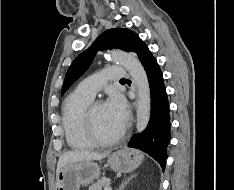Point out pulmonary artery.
Instances as JSON below:
<instances>
[{"label":"pulmonary artery","mask_w":234,"mask_h":190,"mask_svg":"<svg viewBox=\"0 0 234 190\" xmlns=\"http://www.w3.org/2000/svg\"><path fill=\"white\" fill-rule=\"evenodd\" d=\"M127 75L128 70L123 66H107L80 82L75 91L93 98L106 83L119 81Z\"/></svg>","instance_id":"1"}]
</instances>
